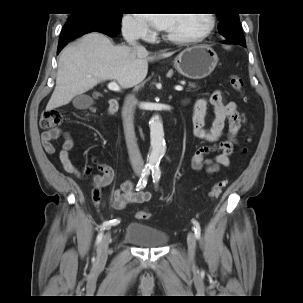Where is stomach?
Returning <instances> with one entry per match:
<instances>
[{"label":"stomach","mask_w":303,"mask_h":303,"mask_svg":"<svg viewBox=\"0 0 303 303\" xmlns=\"http://www.w3.org/2000/svg\"><path fill=\"white\" fill-rule=\"evenodd\" d=\"M218 62L216 52L207 45H195L184 49L174 59L175 69L190 79H203L210 75Z\"/></svg>","instance_id":"1"}]
</instances>
